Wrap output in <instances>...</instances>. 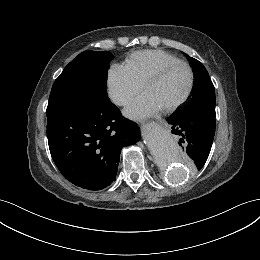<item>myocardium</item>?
Instances as JSON below:
<instances>
[{"label": "myocardium", "mask_w": 260, "mask_h": 260, "mask_svg": "<svg viewBox=\"0 0 260 260\" xmlns=\"http://www.w3.org/2000/svg\"><path fill=\"white\" fill-rule=\"evenodd\" d=\"M179 67H183L188 71L189 74V84L188 87L185 91V93L178 99L176 100L174 103L162 108L164 111L170 112V111H174L176 110L178 107H180L191 95L193 88H194V83H195V74L194 71L192 69V67L183 61H179V62H175V63H170L167 65L162 66L161 68H159L157 71H155L153 74H151L146 81L144 82V90L146 91V89L158 82L159 80H161L164 76H166L169 72H171L172 70L179 68Z\"/></svg>", "instance_id": "1"}]
</instances>
